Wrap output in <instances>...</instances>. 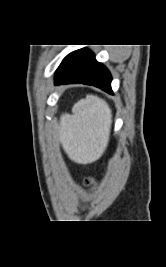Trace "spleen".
<instances>
[{"label":"spleen","instance_id":"spleen-1","mask_svg":"<svg viewBox=\"0 0 166 267\" xmlns=\"http://www.w3.org/2000/svg\"><path fill=\"white\" fill-rule=\"evenodd\" d=\"M112 113L108 104L94 95H87L73 107V114L60 120V139L69 158L88 164L104 153L110 135Z\"/></svg>","mask_w":166,"mask_h":267}]
</instances>
